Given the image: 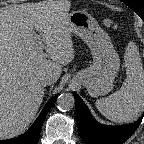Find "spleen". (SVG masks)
Returning <instances> with one entry per match:
<instances>
[{"label": "spleen", "instance_id": "1", "mask_svg": "<svg viewBox=\"0 0 144 144\" xmlns=\"http://www.w3.org/2000/svg\"><path fill=\"white\" fill-rule=\"evenodd\" d=\"M126 74L120 90L95 102L98 111L112 122L133 120L144 107V74L137 55L126 64Z\"/></svg>", "mask_w": 144, "mask_h": 144}]
</instances>
